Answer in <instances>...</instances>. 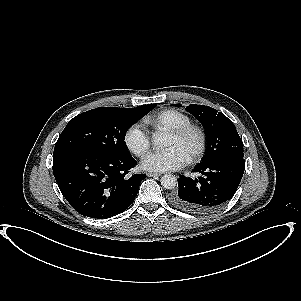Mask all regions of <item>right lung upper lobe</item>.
Here are the masks:
<instances>
[{
  "mask_svg": "<svg viewBox=\"0 0 301 301\" xmlns=\"http://www.w3.org/2000/svg\"><path fill=\"white\" fill-rule=\"evenodd\" d=\"M147 106H156L155 104H149V105H147Z\"/></svg>",
  "mask_w": 301,
  "mask_h": 301,
  "instance_id": "1",
  "label": "right lung upper lobe"
}]
</instances>
